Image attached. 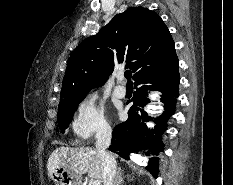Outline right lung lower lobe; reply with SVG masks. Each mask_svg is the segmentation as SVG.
<instances>
[{"instance_id": "right-lung-lower-lobe-1", "label": "right lung lower lobe", "mask_w": 233, "mask_h": 185, "mask_svg": "<svg viewBox=\"0 0 233 185\" xmlns=\"http://www.w3.org/2000/svg\"><path fill=\"white\" fill-rule=\"evenodd\" d=\"M178 63L179 61L176 58L168 64L154 67L135 77L134 85L137 91L131 99L133 105L128 111V120L114 128L112 145L109 147L110 151L127 159L129 153L136 152L143 146V142L138 138L147 133L148 129L145 122L151 119L143 110L144 106L150 102L147 97L148 91H159L163 94L161 101L164 103L165 112L156 120L157 125L152 134L146 138L143 137V140H146L145 148H150L146 155H149L150 151L152 155H158L159 151L163 150V144L160 142L161 135L167 128L168 117L175 112V105L179 96ZM153 141H155V145H153ZM146 168L154 177H157L158 158H151Z\"/></svg>"}]
</instances>
